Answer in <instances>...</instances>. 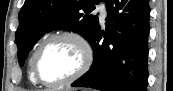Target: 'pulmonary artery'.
Returning <instances> with one entry per match:
<instances>
[{
  "label": "pulmonary artery",
  "mask_w": 173,
  "mask_h": 91,
  "mask_svg": "<svg viewBox=\"0 0 173 91\" xmlns=\"http://www.w3.org/2000/svg\"><path fill=\"white\" fill-rule=\"evenodd\" d=\"M97 11L99 12L101 19L104 21L107 17V13H106L104 6L99 5L97 8Z\"/></svg>",
  "instance_id": "obj_1"
}]
</instances>
